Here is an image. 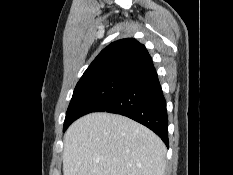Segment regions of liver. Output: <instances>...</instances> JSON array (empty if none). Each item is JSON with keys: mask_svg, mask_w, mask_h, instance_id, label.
<instances>
[{"mask_svg": "<svg viewBox=\"0 0 233 175\" xmlns=\"http://www.w3.org/2000/svg\"><path fill=\"white\" fill-rule=\"evenodd\" d=\"M166 146L150 129L117 114L91 113L64 135V175H164Z\"/></svg>", "mask_w": 233, "mask_h": 175, "instance_id": "6515ba94", "label": "liver"}]
</instances>
